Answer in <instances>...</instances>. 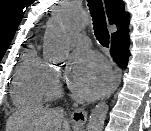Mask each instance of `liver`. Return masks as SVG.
<instances>
[{"instance_id": "6515ba94", "label": "liver", "mask_w": 151, "mask_h": 131, "mask_svg": "<svg viewBox=\"0 0 151 131\" xmlns=\"http://www.w3.org/2000/svg\"><path fill=\"white\" fill-rule=\"evenodd\" d=\"M62 125L65 131L69 130L63 110L35 106L13 113L8 119L6 131H61Z\"/></svg>"}]
</instances>
